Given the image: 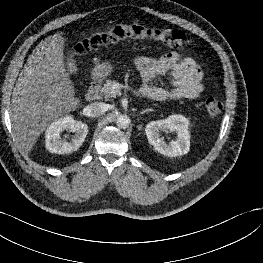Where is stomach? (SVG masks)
<instances>
[{"label":"stomach","instance_id":"1","mask_svg":"<svg viewBox=\"0 0 263 263\" xmlns=\"http://www.w3.org/2000/svg\"><path fill=\"white\" fill-rule=\"evenodd\" d=\"M112 72L113 65L108 61H104L102 63H99L93 70V78L95 80H103L106 77L110 76Z\"/></svg>","mask_w":263,"mask_h":263}]
</instances>
